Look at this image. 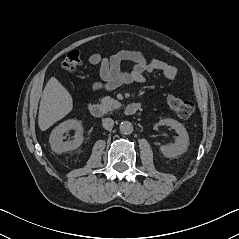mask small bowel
<instances>
[{"label":"small bowel","mask_w":239,"mask_h":239,"mask_svg":"<svg viewBox=\"0 0 239 239\" xmlns=\"http://www.w3.org/2000/svg\"><path fill=\"white\" fill-rule=\"evenodd\" d=\"M89 63L99 66L101 81L91 86L94 92L113 91L124 84L143 83L146 73L160 72L168 80L177 77V69L158 59L147 60L140 52L133 50H119L110 57H104L99 53L89 56ZM123 61H130L132 67L129 71H122Z\"/></svg>","instance_id":"1"}]
</instances>
